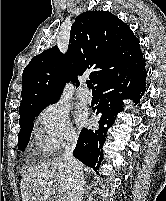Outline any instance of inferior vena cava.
Returning <instances> with one entry per match:
<instances>
[{
	"instance_id": "1",
	"label": "inferior vena cava",
	"mask_w": 166,
	"mask_h": 201,
	"mask_svg": "<svg viewBox=\"0 0 166 201\" xmlns=\"http://www.w3.org/2000/svg\"><path fill=\"white\" fill-rule=\"evenodd\" d=\"M76 138H70L65 146L62 159L67 163L72 177V190L69 201H82L84 194V177L81 164L73 157Z\"/></svg>"
}]
</instances>
